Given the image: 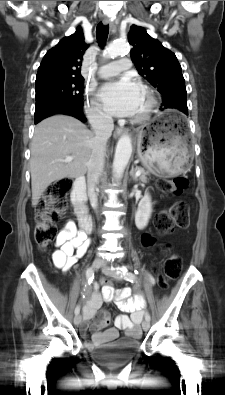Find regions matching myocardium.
<instances>
[{
    "label": "myocardium",
    "instance_id": "1",
    "mask_svg": "<svg viewBox=\"0 0 225 395\" xmlns=\"http://www.w3.org/2000/svg\"><path fill=\"white\" fill-rule=\"evenodd\" d=\"M142 91L144 92L146 96V106L143 112L133 118V122L135 123H141L146 121L152 114L155 106H156V97L153 93V91L147 87V86H142Z\"/></svg>",
    "mask_w": 225,
    "mask_h": 395
}]
</instances>
